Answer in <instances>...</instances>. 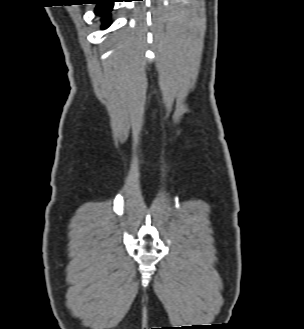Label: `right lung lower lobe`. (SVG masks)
I'll use <instances>...</instances> for the list:
<instances>
[{
    "instance_id": "right-lung-lower-lobe-1",
    "label": "right lung lower lobe",
    "mask_w": 304,
    "mask_h": 329,
    "mask_svg": "<svg viewBox=\"0 0 304 329\" xmlns=\"http://www.w3.org/2000/svg\"><path fill=\"white\" fill-rule=\"evenodd\" d=\"M115 0H96L95 3L97 4L95 8V13L98 16L102 17V29L107 28L110 25L109 16L110 11L113 8V3Z\"/></svg>"
}]
</instances>
